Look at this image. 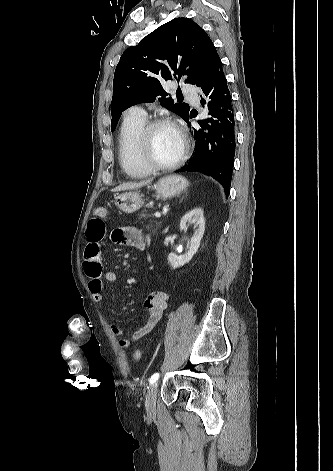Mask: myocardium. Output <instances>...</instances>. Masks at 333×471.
<instances>
[{
    "instance_id": "1",
    "label": "myocardium",
    "mask_w": 333,
    "mask_h": 471,
    "mask_svg": "<svg viewBox=\"0 0 333 471\" xmlns=\"http://www.w3.org/2000/svg\"><path fill=\"white\" fill-rule=\"evenodd\" d=\"M162 126H170L174 128L180 135L182 146L177 158L170 163H160L155 160L151 149V137L153 132ZM138 151L142 162L149 167L152 171H169L179 167L187 158L189 145L188 140L181 130V128L173 121L169 119H154L145 124L143 127L139 139H138Z\"/></svg>"
}]
</instances>
